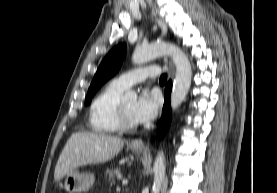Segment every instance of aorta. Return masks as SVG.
I'll return each mask as SVG.
<instances>
[{"label":"aorta","mask_w":277,"mask_h":193,"mask_svg":"<svg viewBox=\"0 0 277 193\" xmlns=\"http://www.w3.org/2000/svg\"><path fill=\"white\" fill-rule=\"evenodd\" d=\"M163 55H170L176 67V75L170 99L171 108L175 111L185 100L191 85L192 69L185 53L174 44L156 42L145 47H136L132 55V61L134 64L140 65ZM136 99L137 93L134 91H128L123 96V100L125 101ZM165 169V156L160 152L157 154L153 166L154 182L152 193H159L164 180Z\"/></svg>","instance_id":"aorta-1"}]
</instances>
